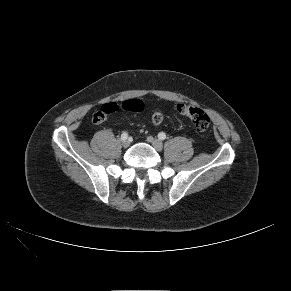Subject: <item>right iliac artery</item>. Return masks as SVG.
<instances>
[{
  "label": "right iliac artery",
  "instance_id": "right-iliac-artery-1",
  "mask_svg": "<svg viewBox=\"0 0 291 291\" xmlns=\"http://www.w3.org/2000/svg\"><path fill=\"white\" fill-rule=\"evenodd\" d=\"M128 138V133L127 132H123L121 135V140L124 141Z\"/></svg>",
  "mask_w": 291,
  "mask_h": 291
}]
</instances>
